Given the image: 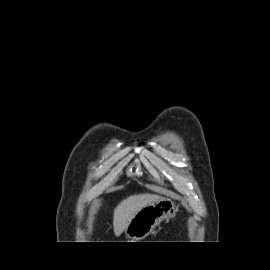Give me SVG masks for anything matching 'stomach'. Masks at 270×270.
<instances>
[{"label":"stomach","instance_id":"obj_1","mask_svg":"<svg viewBox=\"0 0 270 270\" xmlns=\"http://www.w3.org/2000/svg\"><path fill=\"white\" fill-rule=\"evenodd\" d=\"M175 204L166 198H159L142 208L124 230L125 236L131 240H142L148 236L164 219L175 216Z\"/></svg>","mask_w":270,"mask_h":270}]
</instances>
